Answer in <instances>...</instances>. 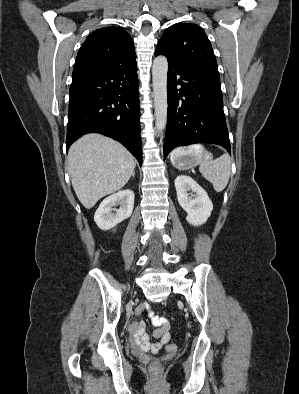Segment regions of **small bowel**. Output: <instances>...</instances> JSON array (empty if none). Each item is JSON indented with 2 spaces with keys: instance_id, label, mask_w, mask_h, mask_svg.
<instances>
[{
  "instance_id": "1",
  "label": "small bowel",
  "mask_w": 299,
  "mask_h": 394,
  "mask_svg": "<svg viewBox=\"0 0 299 394\" xmlns=\"http://www.w3.org/2000/svg\"><path fill=\"white\" fill-rule=\"evenodd\" d=\"M149 305L141 304L137 310L136 315H140L143 311L148 310ZM152 323L156 326L153 332V337L156 342H150V336L145 330V323L143 321L132 323L129 326L130 341L133 347L144 353H157L165 345L170 342V323L167 319L155 315L152 311L149 312Z\"/></svg>"
}]
</instances>
